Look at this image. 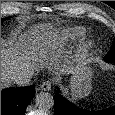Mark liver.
<instances>
[{
  "instance_id": "6515ba94",
  "label": "liver",
  "mask_w": 115,
  "mask_h": 115,
  "mask_svg": "<svg viewBox=\"0 0 115 115\" xmlns=\"http://www.w3.org/2000/svg\"><path fill=\"white\" fill-rule=\"evenodd\" d=\"M38 33V30L34 32L36 36ZM39 40L41 37H36L33 43L25 41L24 48L18 45L13 46L11 43L6 46L1 44V90L10 86L19 72L36 71L49 60L59 63L58 74H73L79 66L84 64L76 60L75 65L68 59H62L64 57L62 44L55 39L52 43L45 41L44 44L35 46L34 44H37Z\"/></svg>"
}]
</instances>
